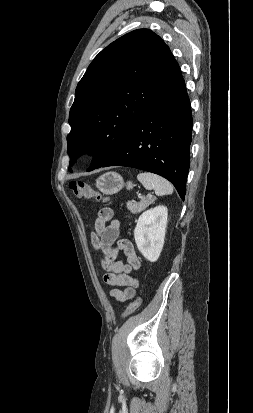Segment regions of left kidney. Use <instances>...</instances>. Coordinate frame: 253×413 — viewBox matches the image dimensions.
<instances>
[{
	"label": "left kidney",
	"instance_id": "1",
	"mask_svg": "<svg viewBox=\"0 0 253 413\" xmlns=\"http://www.w3.org/2000/svg\"><path fill=\"white\" fill-rule=\"evenodd\" d=\"M168 210L156 206L141 214L134 230V238L141 254L150 262L158 260L165 239Z\"/></svg>",
	"mask_w": 253,
	"mask_h": 413
}]
</instances>
